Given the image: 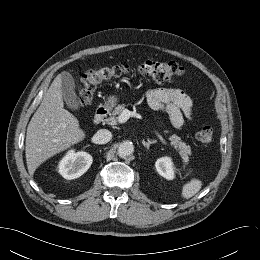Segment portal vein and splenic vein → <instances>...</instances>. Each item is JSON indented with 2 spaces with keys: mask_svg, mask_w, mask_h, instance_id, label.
I'll list each match as a JSON object with an SVG mask.
<instances>
[{
  "mask_svg": "<svg viewBox=\"0 0 260 260\" xmlns=\"http://www.w3.org/2000/svg\"><path fill=\"white\" fill-rule=\"evenodd\" d=\"M132 116H136V117H139L140 115L139 114H137L136 112H134V111H129L128 109H124L123 111H122V113L119 115V117H118V122L119 123H125L130 117H132ZM159 136V139L164 143V140H163V138L160 136V135H158Z\"/></svg>",
  "mask_w": 260,
  "mask_h": 260,
  "instance_id": "obj_1",
  "label": "portal vein and splenic vein"
}]
</instances>
